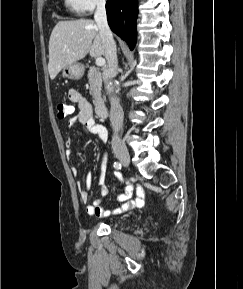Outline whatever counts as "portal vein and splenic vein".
<instances>
[{"instance_id": "portal-vein-and-splenic-vein-1", "label": "portal vein and splenic vein", "mask_w": 243, "mask_h": 289, "mask_svg": "<svg viewBox=\"0 0 243 289\" xmlns=\"http://www.w3.org/2000/svg\"><path fill=\"white\" fill-rule=\"evenodd\" d=\"M95 63L97 66H104L105 65V59L102 57H98V58H96Z\"/></svg>"}]
</instances>
